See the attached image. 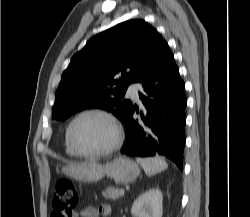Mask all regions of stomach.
Returning <instances> with one entry per match:
<instances>
[{
    "instance_id": "0dacf381",
    "label": "stomach",
    "mask_w": 250,
    "mask_h": 217,
    "mask_svg": "<svg viewBox=\"0 0 250 217\" xmlns=\"http://www.w3.org/2000/svg\"><path fill=\"white\" fill-rule=\"evenodd\" d=\"M63 172L70 177L86 182H98L108 176L118 184H126L136 180L139 176V166L124 157L115 159L105 165L96 162L73 163L65 166Z\"/></svg>"
}]
</instances>
